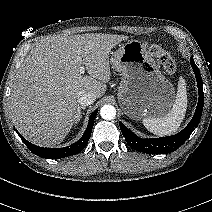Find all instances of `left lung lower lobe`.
Segmentation results:
<instances>
[{"mask_svg":"<svg viewBox=\"0 0 212 212\" xmlns=\"http://www.w3.org/2000/svg\"><path fill=\"white\" fill-rule=\"evenodd\" d=\"M191 66L196 76L198 90H199V100L196 107L195 114L189 124L179 133L161 137V138H151L142 139L131 132L124 124L119 122L121 132L126 139V142L135 150L147 154H166L177 150L191 135L194 129L198 126L204 102V94L202 88V79L198 67L195 65L193 57L190 58Z\"/></svg>","mask_w":212,"mask_h":212,"instance_id":"0a47b994","label":"left lung lower lobe"}]
</instances>
